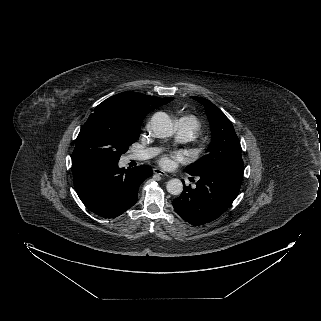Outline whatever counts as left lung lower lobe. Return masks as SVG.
Instances as JSON below:
<instances>
[{"label":"left lung lower lobe","instance_id":"left-lung-lower-lobe-1","mask_svg":"<svg viewBox=\"0 0 321 321\" xmlns=\"http://www.w3.org/2000/svg\"><path fill=\"white\" fill-rule=\"evenodd\" d=\"M244 165L217 166L201 172L196 188L184 186L173 200L175 211L192 225H203L221 216L237 197Z\"/></svg>","mask_w":321,"mask_h":321}]
</instances>
